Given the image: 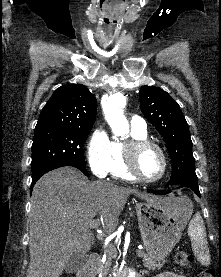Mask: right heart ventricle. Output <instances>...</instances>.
I'll use <instances>...</instances> for the list:
<instances>
[{"instance_id":"obj_1","label":"right heart ventricle","mask_w":221,"mask_h":277,"mask_svg":"<svg viewBox=\"0 0 221 277\" xmlns=\"http://www.w3.org/2000/svg\"><path fill=\"white\" fill-rule=\"evenodd\" d=\"M131 138L132 140L146 139L147 133L132 129ZM125 144L118 140L111 142V158L107 172L114 178L133 181L135 179L129 174L125 166Z\"/></svg>"}]
</instances>
